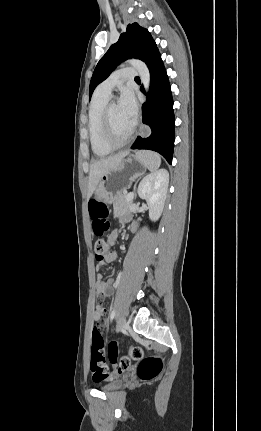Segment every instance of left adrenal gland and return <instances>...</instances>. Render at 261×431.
Instances as JSON below:
<instances>
[{
  "label": "left adrenal gland",
  "instance_id": "1",
  "mask_svg": "<svg viewBox=\"0 0 261 431\" xmlns=\"http://www.w3.org/2000/svg\"><path fill=\"white\" fill-rule=\"evenodd\" d=\"M134 191H136V184H135V186H134ZM135 198H136V194H135Z\"/></svg>",
  "mask_w": 261,
  "mask_h": 431
}]
</instances>
